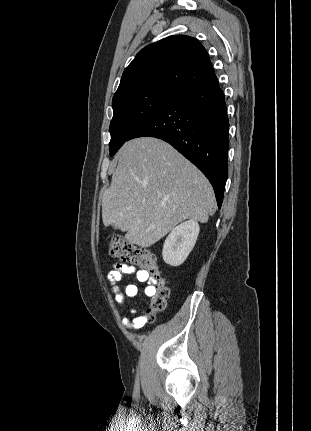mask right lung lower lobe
<instances>
[{"instance_id": "1", "label": "right lung lower lobe", "mask_w": 311, "mask_h": 431, "mask_svg": "<svg viewBox=\"0 0 311 431\" xmlns=\"http://www.w3.org/2000/svg\"><path fill=\"white\" fill-rule=\"evenodd\" d=\"M229 122L224 94L216 80L181 94L130 135L171 144L212 184L221 207L228 176Z\"/></svg>"}]
</instances>
